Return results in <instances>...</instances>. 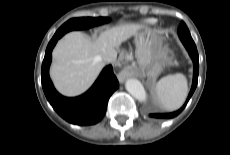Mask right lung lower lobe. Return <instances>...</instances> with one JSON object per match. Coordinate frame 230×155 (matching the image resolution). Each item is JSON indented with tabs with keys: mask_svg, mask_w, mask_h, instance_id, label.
<instances>
[{
	"mask_svg": "<svg viewBox=\"0 0 230 155\" xmlns=\"http://www.w3.org/2000/svg\"><path fill=\"white\" fill-rule=\"evenodd\" d=\"M62 37V36H61ZM60 36L54 35L49 42L42 63V87L45 96L54 110L66 121L77 125H93L105 115L107 103L119 87L112 66L104 68L93 86L83 95L67 98L60 95L49 78L52 50Z\"/></svg>",
	"mask_w": 230,
	"mask_h": 155,
	"instance_id": "1",
	"label": "right lung lower lobe"
}]
</instances>
